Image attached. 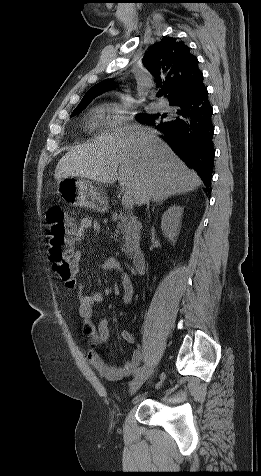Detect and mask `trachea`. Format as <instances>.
Returning a JSON list of instances; mask_svg holds the SVG:
<instances>
[{
    "mask_svg": "<svg viewBox=\"0 0 261 476\" xmlns=\"http://www.w3.org/2000/svg\"><path fill=\"white\" fill-rule=\"evenodd\" d=\"M162 94H163V92H162V93H159V96H161Z\"/></svg>",
    "mask_w": 261,
    "mask_h": 476,
    "instance_id": "1",
    "label": "trachea"
}]
</instances>
